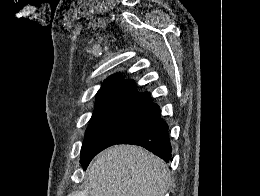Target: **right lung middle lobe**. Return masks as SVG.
<instances>
[{
  "mask_svg": "<svg viewBox=\"0 0 260 196\" xmlns=\"http://www.w3.org/2000/svg\"><path fill=\"white\" fill-rule=\"evenodd\" d=\"M146 108L130 105L96 106L86 129L83 150H103L156 120Z\"/></svg>",
  "mask_w": 260,
  "mask_h": 196,
  "instance_id": "dd1d6c3e",
  "label": "right lung middle lobe"
}]
</instances>
